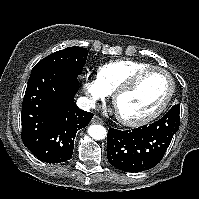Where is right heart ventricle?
Instances as JSON below:
<instances>
[{"label":"right heart ventricle","mask_w":199,"mask_h":199,"mask_svg":"<svg viewBox=\"0 0 199 199\" xmlns=\"http://www.w3.org/2000/svg\"><path fill=\"white\" fill-rule=\"evenodd\" d=\"M148 66L151 65L137 60H114L98 68L97 79L110 94L123 84L134 72Z\"/></svg>","instance_id":"e07e8e85"}]
</instances>
